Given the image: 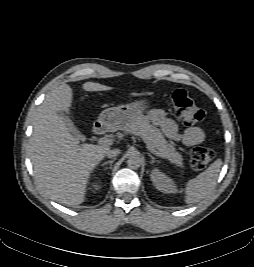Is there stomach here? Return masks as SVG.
<instances>
[{
    "label": "stomach",
    "instance_id": "obj_1",
    "mask_svg": "<svg viewBox=\"0 0 254 267\" xmlns=\"http://www.w3.org/2000/svg\"><path fill=\"white\" fill-rule=\"evenodd\" d=\"M148 104L146 98H140L125 105L107 108L100 113L98 123L112 131L125 130L143 118V112L148 108Z\"/></svg>",
    "mask_w": 254,
    "mask_h": 267
}]
</instances>
